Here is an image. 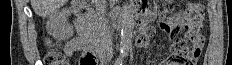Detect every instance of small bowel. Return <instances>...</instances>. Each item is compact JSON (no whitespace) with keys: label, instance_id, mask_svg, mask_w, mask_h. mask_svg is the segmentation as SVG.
<instances>
[{"label":"small bowel","instance_id":"1","mask_svg":"<svg viewBox=\"0 0 232 65\" xmlns=\"http://www.w3.org/2000/svg\"><path fill=\"white\" fill-rule=\"evenodd\" d=\"M141 11L143 12V20L146 22L147 28L141 29V33H139V39L137 40L138 46H146L147 45V37L150 34H153V29L149 26V22L153 19L154 14L152 11L148 10L147 7L143 4L140 6ZM76 26V24H75ZM161 29H164L171 35L178 34L182 29H186V14L184 13H177L169 18L166 22L160 23ZM77 34L76 36L71 39L65 47V51L68 55H72L77 51H89L87 48V39L86 36L79 30L76 26ZM204 45V36L203 34L200 35V40L197 43L198 46V54L193 57L192 62L195 63L201 53V50ZM149 65L152 64L151 62L148 63ZM158 65H181L171 59L164 61Z\"/></svg>","mask_w":232,"mask_h":65}]
</instances>
